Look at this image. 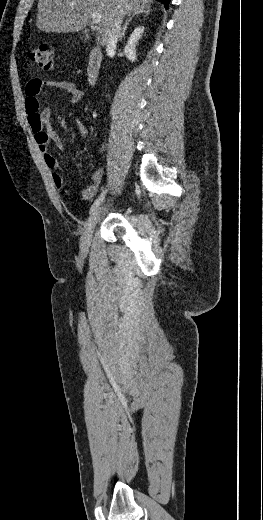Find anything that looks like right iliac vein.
<instances>
[{
    "mask_svg": "<svg viewBox=\"0 0 263 520\" xmlns=\"http://www.w3.org/2000/svg\"><path fill=\"white\" fill-rule=\"evenodd\" d=\"M101 213V207H97L93 213L88 218V221L86 223L84 234L81 237L80 241V252L83 255H86L89 251V247L92 240V235L95 229V226L98 222L99 216Z\"/></svg>",
    "mask_w": 263,
    "mask_h": 520,
    "instance_id": "obj_1",
    "label": "right iliac vein"
}]
</instances>
